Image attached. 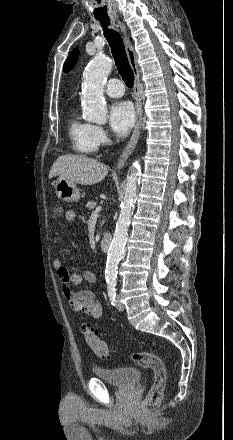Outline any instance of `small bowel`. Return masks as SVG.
I'll list each match as a JSON object with an SVG mask.
<instances>
[{
    "instance_id": "small-bowel-1",
    "label": "small bowel",
    "mask_w": 233,
    "mask_h": 440,
    "mask_svg": "<svg viewBox=\"0 0 233 440\" xmlns=\"http://www.w3.org/2000/svg\"><path fill=\"white\" fill-rule=\"evenodd\" d=\"M76 217L74 210H68L65 213V219L68 222H74ZM53 267L60 282L63 296L71 310L76 313H83L90 318H100L102 316V306L96 300L94 293L88 290L74 291L71 288V285H79L83 281L95 284L97 275L91 270H84L81 273L70 271L59 258L53 261Z\"/></svg>"
}]
</instances>
